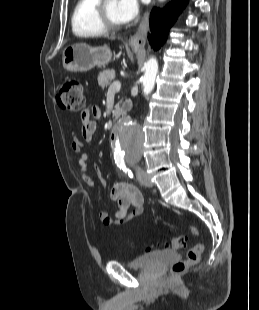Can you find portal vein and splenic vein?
Here are the masks:
<instances>
[{"label":"portal vein and splenic vein","instance_id":"portal-vein-and-splenic-vein-1","mask_svg":"<svg viewBox=\"0 0 259 310\" xmlns=\"http://www.w3.org/2000/svg\"><path fill=\"white\" fill-rule=\"evenodd\" d=\"M120 89H121V83L119 81H115L109 87L108 92H117Z\"/></svg>","mask_w":259,"mask_h":310}]
</instances>
